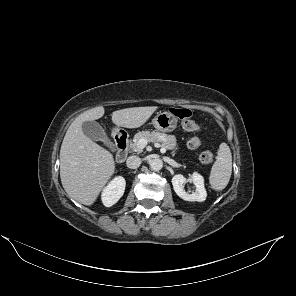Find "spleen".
I'll list each match as a JSON object with an SVG mask.
<instances>
[{
	"label": "spleen",
	"instance_id": "spleen-1",
	"mask_svg": "<svg viewBox=\"0 0 296 296\" xmlns=\"http://www.w3.org/2000/svg\"><path fill=\"white\" fill-rule=\"evenodd\" d=\"M232 174V154L226 143H221L217 152L209 181L212 189L223 190L229 183Z\"/></svg>",
	"mask_w": 296,
	"mask_h": 296
}]
</instances>
